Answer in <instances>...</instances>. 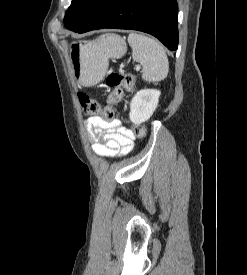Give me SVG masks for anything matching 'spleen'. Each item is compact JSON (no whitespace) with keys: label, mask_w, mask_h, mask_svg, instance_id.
<instances>
[{"label":"spleen","mask_w":247,"mask_h":275,"mask_svg":"<svg viewBox=\"0 0 247 275\" xmlns=\"http://www.w3.org/2000/svg\"><path fill=\"white\" fill-rule=\"evenodd\" d=\"M106 44L105 37L97 42ZM128 43L132 48L134 61L139 62L142 69V78L147 82H158L167 77L169 62L164 47L155 39L139 33H130Z\"/></svg>","instance_id":"3e777b00"}]
</instances>
